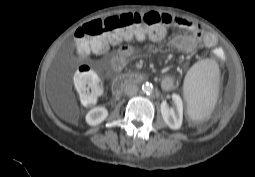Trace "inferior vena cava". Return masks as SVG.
<instances>
[{"label": "inferior vena cava", "mask_w": 255, "mask_h": 177, "mask_svg": "<svg viewBox=\"0 0 255 177\" xmlns=\"http://www.w3.org/2000/svg\"><path fill=\"white\" fill-rule=\"evenodd\" d=\"M138 92V86L135 84H128L124 88V93L126 95H135Z\"/></svg>", "instance_id": "1"}]
</instances>
